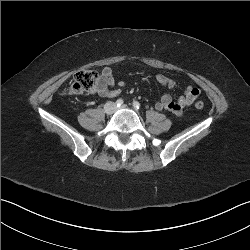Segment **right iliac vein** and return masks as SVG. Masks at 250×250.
Wrapping results in <instances>:
<instances>
[{
  "mask_svg": "<svg viewBox=\"0 0 250 250\" xmlns=\"http://www.w3.org/2000/svg\"><path fill=\"white\" fill-rule=\"evenodd\" d=\"M116 107L113 102H108L104 106V111L106 114L110 115L115 111Z\"/></svg>",
  "mask_w": 250,
  "mask_h": 250,
  "instance_id": "right-iliac-vein-1",
  "label": "right iliac vein"
}]
</instances>
